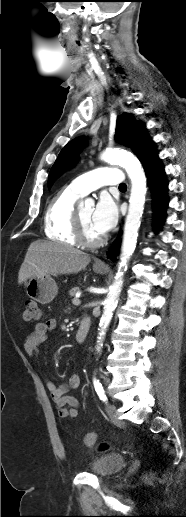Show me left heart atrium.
I'll use <instances>...</instances> for the list:
<instances>
[{
    "instance_id": "39dd6f15",
    "label": "left heart atrium",
    "mask_w": 186,
    "mask_h": 517,
    "mask_svg": "<svg viewBox=\"0 0 186 517\" xmlns=\"http://www.w3.org/2000/svg\"><path fill=\"white\" fill-rule=\"evenodd\" d=\"M118 220V206L107 194L101 195L92 214V226L100 234L111 230Z\"/></svg>"
}]
</instances>
